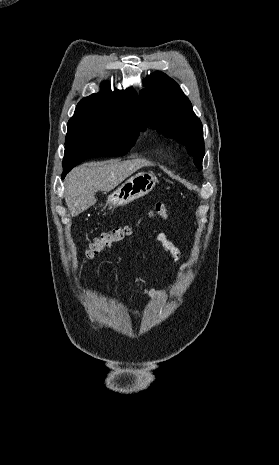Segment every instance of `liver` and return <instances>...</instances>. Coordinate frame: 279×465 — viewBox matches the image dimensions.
<instances>
[{
    "label": "liver",
    "instance_id": "1",
    "mask_svg": "<svg viewBox=\"0 0 279 465\" xmlns=\"http://www.w3.org/2000/svg\"><path fill=\"white\" fill-rule=\"evenodd\" d=\"M153 164L145 159L90 162L74 168L67 176L65 201L72 217L94 205L97 191L109 192L142 167Z\"/></svg>",
    "mask_w": 279,
    "mask_h": 465
}]
</instances>
